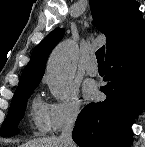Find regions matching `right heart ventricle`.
<instances>
[{
  "mask_svg": "<svg viewBox=\"0 0 145 147\" xmlns=\"http://www.w3.org/2000/svg\"><path fill=\"white\" fill-rule=\"evenodd\" d=\"M31 114L32 120L36 127L41 131H45V105L39 99H35L33 101Z\"/></svg>",
  "mask_w": 145,
  "mask_h": 147,
  "instance_id": "right-heart-ventricle-1",
  "label": "right heart ventricle"
}]
</instances>
